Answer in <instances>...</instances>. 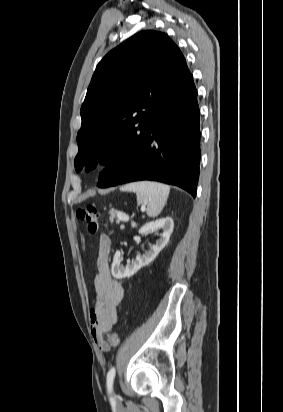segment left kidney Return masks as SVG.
Listing matches in <instances>:
<instances>
[{"instance_id": "obj_1", "label": "left kidney", "mask_w": 283, "mask_h": 412, "mask_svg": "<svg viewBox=\"0 0 283 412\" xmlns=\"http://www.w3.org/2000/svg\"><path fill=\"white\" fill-rule=\"evenodd\" d=\"M174 222L170 217L161 218L156 221L146 223L139 229V233L142 235L148 234L155 230H162L160 239L156 241V244L152 245L150 249L142 256H137L136 260L130 265H121V252L116 251L113 262L111 265L112 276L116 279H122L125 277L133 276L143 266L150 264L159 252L167 245L171 233L173 232Z\"/></svg>"}]
</instances>
